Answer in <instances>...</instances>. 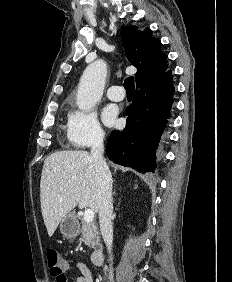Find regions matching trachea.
I'll use <instances>...</instances> for the list:
<instances>
[{"label": "trachea", "mask_w": 232, "mask_h": 282, "mask_svg": "<svg viewBox=\"0 0 232 282\" xmlns=\"http://www.w3.org/2000/svg\"><path fill=\"white\" fill-rule=\"evenodd\" d=\"M124 88L126 92H134L135 86H134V77L133 76H130L125 79Z\"/></svg>", "instance_id": "obj_1"}]
</instances>
